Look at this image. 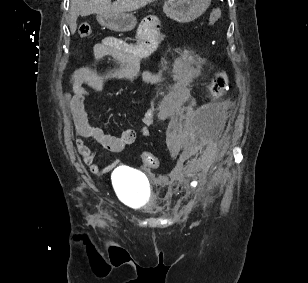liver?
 Here are the masks:
<instances>
[{
	"label": "liver",
	"mask_w": 308,
	"mask_h": 283,
	"mask_svg": "<svg viewBox=\"0 0 308 283\" xmlns=\"http://www.w3.org/2000/svg\"><path fill=\"white\" fill-rule=\"evenodd\" d=\"M155 0H71L70 3V31L72 34L77 29L78 16H88L91 14L125 13L140 9Z\"/></svg>",
	"instance_id": "1"
}]
</instances>
